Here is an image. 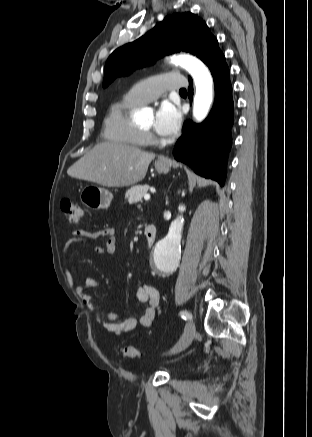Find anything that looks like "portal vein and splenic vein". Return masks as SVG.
Instances as JSON below:
<instances>
[{
    "label": "portal vein and splenic vein",
    "instance_id": "obj_1",
    "mask_svg": "<svg viewBox=\"0 0 312 437\" xmlns=\"http://www.w3.org/2000/svg\"><path fill=\"white\" fill-rule=\"evenodd\" d=\"M144 199H145V200H149V199H150V195H149V194H145V195H144Z\"/></svg>",
    "mask_w": 312,
    "mask_h": 437
}]
</instances>
